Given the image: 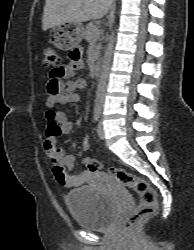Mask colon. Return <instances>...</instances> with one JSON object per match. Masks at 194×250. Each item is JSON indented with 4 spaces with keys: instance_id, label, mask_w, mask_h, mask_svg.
I'll use <instances>...</instances> for the list:
<instances>
[{
    "instance_id": "1",
    "label": "colon",
    "mask_w": 194,
    "mask_h": 250,
    "mask_svg": "<svg viewBox=\"0 0 194 250\" xmlns=\"http://www.w3.org/2000/svg\"><path fill=\"white\" fill-rule=\"evenodd\" d=\"M70 59L73 61H78L80 59L78 50L71 52ZM42 64L46 67L54 68L55 70L60 69L61 56L55 47L47 46L43 49ZM57 74L60 75L59 72ZM81 146L84 151L89 149V142L86 138L82 140ZM84 164L92 173L105 171L117 183L131 188L139 195L140 202L127 218L128 224H135L146 217L152 216L156 212V193L147 181L123 168L109 167L105 169L100 161L88 157L84 159Z\"/></svg>"
}]
</instances>
